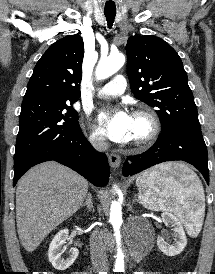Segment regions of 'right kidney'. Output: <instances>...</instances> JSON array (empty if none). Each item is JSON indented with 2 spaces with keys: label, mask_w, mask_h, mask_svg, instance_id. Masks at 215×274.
I'll use <instances>...</instances> for the list:
<instances>
[{
  "label": "right kidney",
  "mask_w": 215,
  "mask_h": 274,
  "mask_svg": "<svg viewBox=\"0 0 215 274\" xmlns=\"http://www.w3.org/2000/svg\"><path fill=\"white\" fill-rule=\"evenodd\" d=\"M68 235V229L59 231L49 245L48 259L53 267L60 271L69 268L79 254L78 249L73 247L70 249V252L66 257L63 256V252L66 250L65 244L68 239Z\"/></svg>",
  "instance_id": "ca27d5eb"
}]
</instances>
